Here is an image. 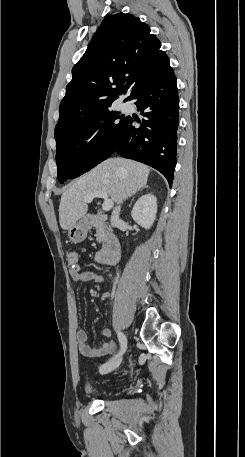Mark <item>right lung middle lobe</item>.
Returning <instances> with one entry per match:
<instances>
[{
	"label": "right lung middle lobe",
	"mask_w": 245,
	"mask_h": 457,
	"mask_svg": "<svg viewBox=\"0 0 245 457\" xmlns=\"http://www.w3.org/2000/svg\"><path fill=\"white\" fill-rule=\"evenodd\" d=\"M110 106L55 129L57 178L61 183L82 175L114 152L125 115L110 111Z\"/></svg>",
	"instance_id": "obj_1"
}]
</instances>
